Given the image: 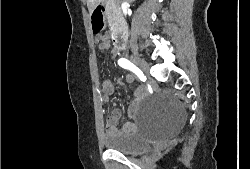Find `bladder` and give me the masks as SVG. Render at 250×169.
Segmentation results:
<instances>
[{"label": "bladder", "instance_id": "1", "mask_svg": "<svg viewBox=\"0 0 250 169\" xmlns=\"http://www.w3.org/2000/svg\"><path fill=\"white\" fill-rule=\"evenodd\" d=\"M147 134L141 133H110L103 134L102 139L106 150L119 151L126 155L149 150Z\"/></svg>", "mask_w": 250, "mask_h": 169}]
</instances>
